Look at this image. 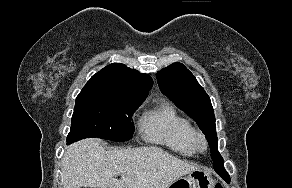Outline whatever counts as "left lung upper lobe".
I'll return each instance as SVG.
<instances>
[{
  "label": "left lung upper lobe",
  "mask_w": 292,
  "mask_h": 188,
  "mask_svg": "<svg viewBox=\"0 0 292 188\" xmlns=\"http://www.w3.org/2000/svg\"><path fill=\"white\" fill-rule=\"evenodd\" d=\"M156 77L162 93L196 121L209 143L213 167H220L223 159L217 150L214 110L203 87L181 63H173L162 69Z\"/></svg>",
  "instance_id": "left-lung-upper-lobe-1"
}]
</instances>
